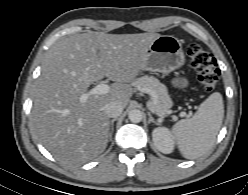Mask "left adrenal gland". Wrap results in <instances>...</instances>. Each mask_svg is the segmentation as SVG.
<instances>
[{"mask_svg":"<svg viewBox=\"0 0 248 195\" xmlns=\"http://www.w3.org/2000/svg\"><path fill=\"white\" fill-rule=\"evenodd\" d=\"M148 116H149V120H148V123H155L156 125H160L151 115V113H148Z\"/></svg>","mask_w":248,"mask_h":195,"instance_id":"left-adrenal-gland-1","label":"left adrenal gland"}]
</instances>
